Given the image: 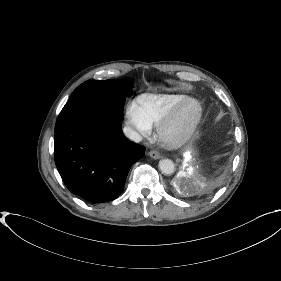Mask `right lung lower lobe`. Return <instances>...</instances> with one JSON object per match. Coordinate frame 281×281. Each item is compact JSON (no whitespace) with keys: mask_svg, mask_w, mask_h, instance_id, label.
<instances>
[{"mask_svg":"<svg viewBox=\"0 0 281 281\" xmlns=\"http://www.w3.org/2000/svg\"><path fill=\"white\" fill-rule=\"evenodd\" d=\"M54 159L69 191L101 203L116 199L145 147L129 141L120 121L72 122L55 130Z\"/></svg>","mask_w":281,"mask_h":281,"instance_id":"right-lung-lower-lobe-1","label":"right lung lower lobe"}]
</instances>
